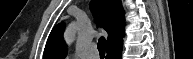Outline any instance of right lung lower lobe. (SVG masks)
Listing matches in <instances>:
<instances>
[{"label": "right lung lower lobe", "instance_id": "right-lung-lower-lobe-1", "mask_svg": "<svg viewBox=\"0 0 193 59\" xmlns=\"http://www.w3.org/2000/svg\"><path fill=\"white\" fill-rule=\"evenodd\" d=\"M123 40L116 42L113 45L107 47L106 59H121L122 57Z\"/></svg>", "mask_w": 193, "mask_h": 59}]
</instances>
